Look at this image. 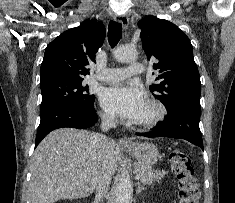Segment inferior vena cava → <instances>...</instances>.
<instances>
[{"label":"inferior vena cava","mask_w":235,"mask_h":203,"mask_svg":"<svg viewBox=\"0 0 235 203\" xmlns=\"http://www.w3.org/2000/svg\"><path fill=\"white\" fill-rule=\"evenodd\" d=\"M101 129L107 132L110 128L115 127V117L103 115L101 117ZM96 140L99 142L101 148L106 150L109 144L108 138L103 134H96ZM111 184V173L106 164L102 165L101 172L99 174L97 184H96V203H99L105 194L107 193L109 186Z\"/></svg>","instance_id":"1"}]
</instances>
